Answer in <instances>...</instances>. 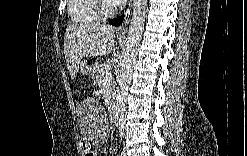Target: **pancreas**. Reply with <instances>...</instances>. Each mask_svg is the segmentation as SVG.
I'll return each mask as SVG.
<instances>
[{"label":"pancreas","mask_w":247,"mask_h":156,"mask_svg":"<svg viewBox=\"0 0 247 156\" xmlns=\"http://www.w3.org/2000/svg\"><path fill=\"white\" fill-rule=\"evenodd\" d=\"M111 65L109 63L99 64L96 65V70L92 77L94 78V82L98 85H102L105 82V74L106 72L110 71ZM110 80V90H113L115 88V82L112 80V77Z\"/></svg>","instance_id":"pancreas-1"}]
</instances>
